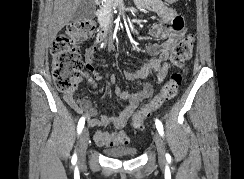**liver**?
<instances>
[{"label":"liver","instance_id":"1","mask_svg":"<svg viewBox=\"0 0 244 179\" xmlns=\"http://www.w3.org/2000/svg\"><path fill=\"white\" fill-rule=\"evenodd\" d=\"M81 0H54L53 16L49 22L50 42H54L58 32L70 22Z\"/></svg>","mask_w":244,"mask_h":179}]
</instances>
